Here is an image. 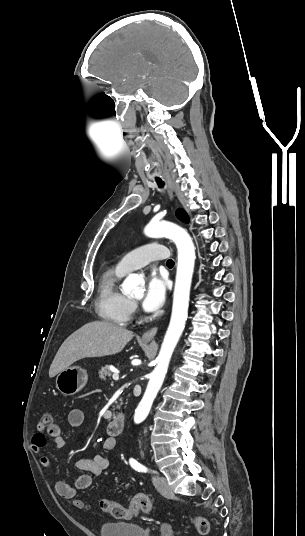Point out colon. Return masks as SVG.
<instances>
[{
    "mask_svg": "<svg viewBox=\"0 0 305 536\" xmlns=\"http://www.w3.org/2000/svg\"><path fill=\"white\" fill-rule=\"evenodd\" d=\"M44 424L52 425L54 418L51 412L44 414L42 417ZM74 506L78 508L80 512H85L87 510V505L80 502L79 500H74ZM100 509L107 514H110L117 520L131 518L138 513L151 514L153 512V507L149 499L144 493L138 492L135 493L132 497V500L128 506H124L118 502L113 501L112 499H102L100 501ZM191 522L195 526L196 533L200 536H206L209 531V523L206 518L202 516H192L190 518Z\"/></svg>",
    "mask_w": 305,
    "mask_h": 536,
    "instance_id": "5ec220e1",
    "label": "colon"
}]
</instances>
